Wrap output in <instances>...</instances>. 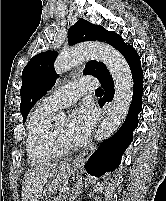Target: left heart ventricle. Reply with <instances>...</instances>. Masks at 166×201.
Segmentation results:
<instances>
[{"label": "left heart ventricle", "instance_id": "b2bd125f", "mask_svg": "<svg viewBox=\"0 0 166 201\" xmlns=\"http://www.w3.org/2000/svg\"><path fill=\"white\" fill-rule=\"evenodd\" d=\"M55 127L63 142L74 146L68 134V121L66 119L58 120L55 122Z\"/></svg>", "mask_w": 166, "mask_h": 201}]
</instances>
